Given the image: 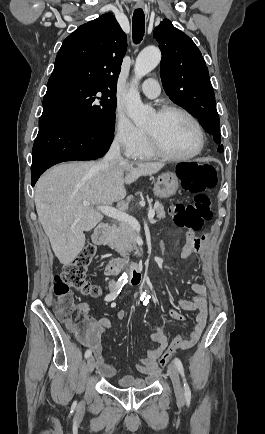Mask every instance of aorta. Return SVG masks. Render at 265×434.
Returning <instances> with one entry per match:
<instances>
[{
  "instance_id": "762f6f07",
  "label": "aorta",
  "mask_w": 265,
  "mask_h": 434,
  "mask_svg": "<svg viewBox=\"0 0 265 434\" xmlns=\"http://www.w3.org/2000/svg\"><path fill=\"white\" fill-rule=\"evenodd\" d=\"M161 60V52L155 46H148L140 52L136 58L134 66L135 78H133L129 92L126 98L127 116L133 120L135 126H145L148 120L152 118L153 110L150 106H144L137 90V84L143 76L152 72L158 66ZM124 282L128 280L127 272H123L121 276Z\"/></svg>"
}]
</instances>
